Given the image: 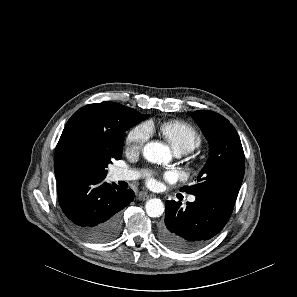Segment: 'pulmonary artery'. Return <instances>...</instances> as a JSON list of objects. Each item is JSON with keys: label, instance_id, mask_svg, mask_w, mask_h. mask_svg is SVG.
<instances>
[{"label": "pulmonary artery", "instance_id": "1", "mask_svg": "<svg viewBox=\"0 0 297 297\" xmlns=\"http://www.w3.org/2000/svg\"><path fill=\"white\" fill-rule=\"evenodd\" d=\"M183 153L184 152H181V151L176 152L177 155H181ZM111 177H112V180L114 181H130V180L136 179L138 177V173L135 170H131V169L117 168L112 170ZM189 201L194 202L195 197L190 196Z\"/></svg>", "mask_w": 297, "mask_h": 297}]
</instances>
